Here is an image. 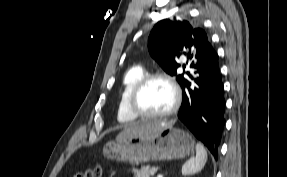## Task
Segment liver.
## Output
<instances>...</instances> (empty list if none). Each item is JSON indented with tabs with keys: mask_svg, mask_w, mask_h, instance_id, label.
<instances>
[{
	"mask_svg": "<svg viewBox=\"0 0 287 177\" xmlns=\"http://www.w3.org/2000/svg\"><path fill=\"white\" fill-rule=\"evenodd\" d=\"M175 121L164 122V121H146L142 123L133 124L127 128H125L117 138H126V137H133L138 135H144L156 132L161 128L173 126Z\"/></svg>",
	"mask_w": 287,
	"mask_h": 177,
	"instance_id": "6515ba94",
	"label": "liver"
}]
</instances>
